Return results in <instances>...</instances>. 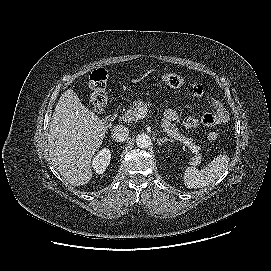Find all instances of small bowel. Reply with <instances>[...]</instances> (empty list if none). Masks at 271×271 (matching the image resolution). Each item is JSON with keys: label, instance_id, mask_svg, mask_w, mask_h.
Instances as JSON below:
<instances>
[{"label": "small bowel", "instance_id": "1", "mask_svg": "<svg viewBox=\"0 0 271 271\" xmlns=\"http://www.w3.org/2000/svg\"><path fill=\"white\" fill-rule=\"evenodd\" d=\"M205 90L204 87L200 84L193 86L191 90V95L195 98H200L204 96ZM211 111L203 113L199 117L195 116H186L181 117L179 113L175 110L168 109L164 113L166 120L170 122H175L183 125L186 128H195L199 125L206 127H211L224 123L228 119V114L223 104L216 100H210Z\"/></svg>", "mask_w": 271, "mask_h": 271}]
</instances>
